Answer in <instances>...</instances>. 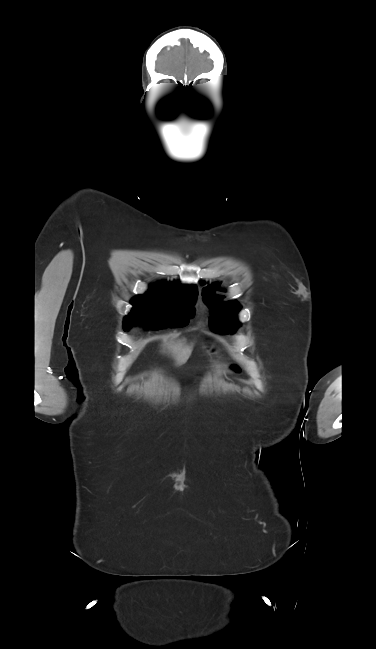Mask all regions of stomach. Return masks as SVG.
<instances>
[{
	"instance_id": "stomach-1",
	"label": "stomach",
	"mask_w": 376,
	"mask_h": 649,
	"mask_svg": "<svg viewBox=\"0 0 376 649\" xmlns=\"http://www.w3.org/2000/svg\"><path fill=\"white\" fill-rule=\"evenodd\" d=\"M204 349L208 353H217V352H219V348L215 344H210V345L204 346Z\"/></svg>"
}]
</instances>
